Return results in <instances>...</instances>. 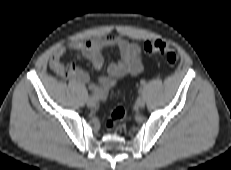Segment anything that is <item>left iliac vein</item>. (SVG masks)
I'll return each instance as SVG.
<instances>
[{"mask_svg": "<svg viewBox=\"0 0 231 170\" xmlns=\"http://www.w3.org/2000/svg\"><path fill=\"white\" fill-rule=\"evenodd\" d=\"M136 106L138 108H143L145 106V100L142 97H139L136 101Z\"/></svg>", "mask_w": 231, "mask_h": 170, "instance_id": "4c4485c4", "label": "left iliac vein"}]
</instances>
